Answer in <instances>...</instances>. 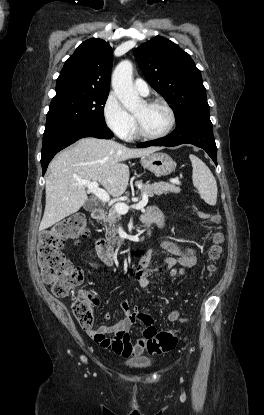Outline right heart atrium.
<instances>
[{
  "label": "right heart atrium",
  "instance_id": "right-heart-atrium-1",
  "mask_svg": "<svg viewBox=\"0 0 264 415\" xmlns=\"http://www.w3.org/2000/svg\"><path fill=\"white\" fill-rule=\"evenodd\" d=\"M108 127L120 138L129 139L135 128L133 117L125 110L115 94L110 93L103 106Z\"/></svg>",
  "mask_w": 264,
  "mask_h": 415
}]
</instances>
